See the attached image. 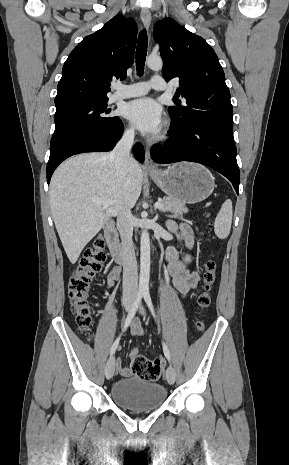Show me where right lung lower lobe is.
Returning a JSON list of instances; mask_svg holds the SVG:
<instances>
[{"mask_svg": "<svg viewBox=\"0 0 289 465\" xmlns=\"http://www.w3.org/2000/svg\"><path fill=\"white\" fill-rule=\"evenodd\" d=\"M123 130V123L119 119L110 129L95 130L79 134L66 143L51 150L47 164L48 184L54 170L66 158L84 152L110 151L121 138ZM133 153L140 162H143L144 150L140 144L134 146Z\"/></svg>", "mask_w": 289, "mask_h": 465, "instance_id": "1", "label": "right lung lower lobe"}]
</instances>
